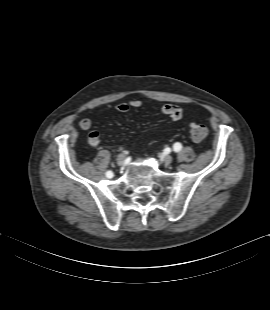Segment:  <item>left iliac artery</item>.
I'll return each instance as SVG.
<instances>
[{
    "label": "left iliac artery",
    "mask_w": 270,
    "mask_h": 310,
    "mask_svg": "<svg viewBox=\"0 0 270 310\" xmlns=\"http://www.w3.org/2000/svg\"><path fill=\"white\" fill-rule=\"evenodd\" d=\"M173 148H174V151H175V152H178V151L181 150L182 145H181L180 143L177 142V143L174 144Z\"/></svg>",
    "instance_id": "left-iliac-artery-1"
}]
</instances>
